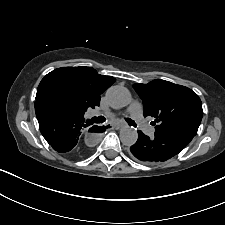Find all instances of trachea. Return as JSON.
<instances>
[{"mask_svg":"<svg viewBox=\"0 0 225 225\" xmlns=\"http://www.w3.org/2000/svg\"><path fill=\"white\" fill-rule=\"evenodd\" d=\"M126 122L130 125V126H134L136 127V123L130 119V118H125ZM105 121V118L103 116H99V117H95V122L96 123H102Z\"/></svg>","mask_w":225,"mask_h":225,"instance_id":"trachea-1","label":"trachea"}]
</instances>
